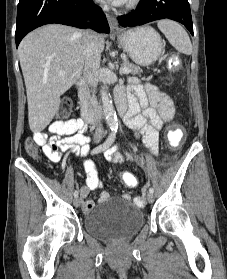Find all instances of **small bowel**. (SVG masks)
<instances>
[{"label":"small bowel","mask_w":227,"mask_h":279,"mask_svg":"<svg viewBox=\"0 0 227 279\" xmlns=\"http://www.w3.org/2000/svg\"><path fill=\"white\" fill-rule=\"evenodd\" d=\"M117 100L128 102V111L124 116L126 126L135 134L141 135L146 146L156 154L160 129L174 116L173 99L156 86L142 84L138 79L131 78L126 92L123 88H117ZM84 129L85 124L81 119L56 120L49 126V133H36L33 141L42 147L44 155L52 163L60 162L63 153H76L85 157L90 151V138L82 134ZM104 156L112 163H122L125 160L124 155L114 148L107 150ZM83 165L86 182L81 187L80 194L84 199V212L90 213L96 202L88 199V196L92 190L101 186V181L97 176L96 165L91 159H85ZM108 199V193L102 191L97 202L105 203Z\"/></svg>","instance_id":"small-bowel-1"}]
</instances>
